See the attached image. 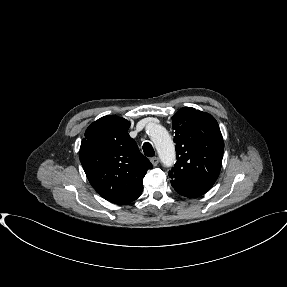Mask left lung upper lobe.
I'll use <instances>...</instances> for the list:
<instances>
[{
    "instance_id": "left-lung-upper-lobe-1",
    "label": "left lung upper lobe",
    "mask_w": 287,
    "mask_h": 287,
    "mask_svg": "<svg viewBox=\"0 0 287 287\" xmlns=\"http://www.w3.org/2000/svg\"><path fill=\"white\" fill-rule=\"evenodd\" d=\"M176 143L175 166L169 176L174 189L185 197H199L217 180L224 142L215 118L191 107L172 117Z\"/></svg>"
}]
</instances>
